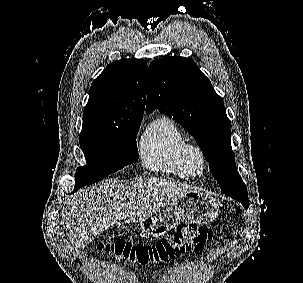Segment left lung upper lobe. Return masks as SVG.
<instances>
[{
  "mask_svg": "<svg viewBox=\"0 0 303 283\" xmlns=\"http://www.w3.org/2000/svg\"><path fill=\"white\" fill-rule=\"evenodd\" d=\"M155 108L173 117L195 138L221 192L236 191L248 197L236 169L231 122L222 98L192 60L171 56L151 62L146 112Z\"/></svg>",
  "mask_w": 303,
  "mask_h": 283,
  "instance_id": "5c2ea615",
  "label": "left lung upper lobe"
}]
</instances>
